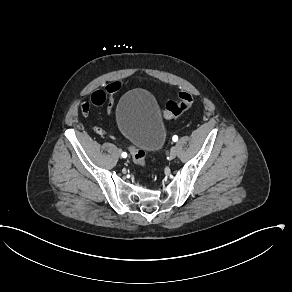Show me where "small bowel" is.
Instances as JSON below:
<instances>
[{
  "mask_svg": "<svg viewBox=\"0 0 292 292\" xmlns=\"http://www.w3.org/2000/svg\"><path fill=\"white\" fill-rule=\"evenodd\" d=\"M123 88V85L121 82L116 81V82H109L105 85L104 90L106 93H108V102H107V111L105 112V115L107 117H110L112 115V110L114 109V104H115V92L121 91Z\"/></svg>",
  "mask_w": 292,
  "mask_h": 292,
  "instance_id": "c3829d8e",
  "label": "small bowel"
}]
</instances>
